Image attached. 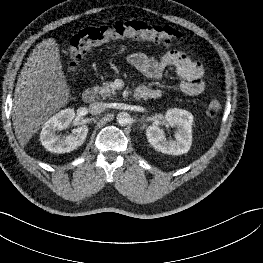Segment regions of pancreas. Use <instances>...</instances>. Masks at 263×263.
Listing matches in <instances>:
<instances>
[{"instance_id":"pancreas-1","label":"pancreas","mask_w":263,"mask_h":263,"mask_svg":"<svg viewBox=\"0 0 263 263\" xmlns=\"http://www.w3.org/2000/svg\"><path fill=\"white\" fill-rule=\"evenodd\" d=\"M95 91L99 93L104 99L107 97L116 96V88L112 82L104 83L103 86H97Z\"/></svg>"}]
</instances>
